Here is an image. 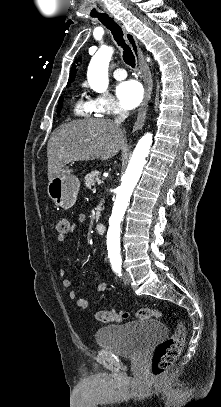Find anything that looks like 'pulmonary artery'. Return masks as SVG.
I'll return each instance as SVG.
<instances>
[{"mask_svg": "<svg viewBox=\"0 0 221 407\" xmlns=\"http://www.w3.org/2000/svg\"><path fill=\"white\" fill-rule=\"evenodd\" d=\"M113 76L116 80H123L127 77V73L125 69L117 68L114 70Z\"/></svg>", "mask_w": 221, "mask_h": 407, "instance_id": "1", "label": "pulmonary artery"}]
</instances>
